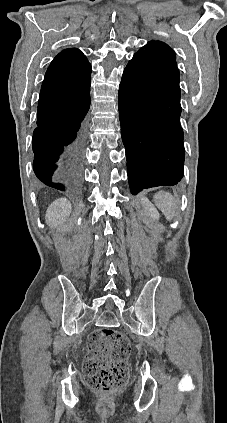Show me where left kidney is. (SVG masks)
Returning a JSON list of instances; mask_svg holds the SVG:
<instances>
[{"label":"left kidney","mask_w":227,"mask_h":423,"mask_svg":"<svg viewBox=\"0 0 227 423\" xmlns=\"http://www.w3.org/2000/svg\"><path fill=\"white\" fill-rule=\"evenodd\" d=\"M141 204L144 208L145 215H149L151 219H159L158 211L154 208L153 204L147 200V198H141Z\"/></svg>","instance_id":"1"}]
</instances>
